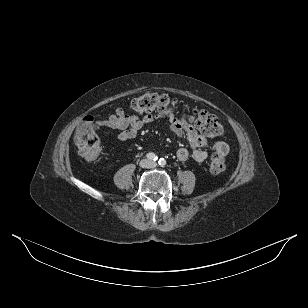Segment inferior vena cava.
I'll use <instances>...</instances> for the list:
<instances>
[{"instance_id":"obj_1","label":"inferior vena cava","mask_w":308,"mask_h":308,"mask_svg":"<svg viewBox=\"0 0 308 308\" xmlns=\"http://www.w3.org/2000/svg\"><path fill=\"white\" fill-rule=\"evenodd\" d=\"M155 166H156V163L152 162L150 165H147L146 167L152 168V167H155Z\"/></svg>"}]
</instances>
